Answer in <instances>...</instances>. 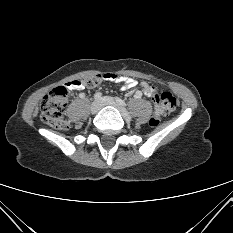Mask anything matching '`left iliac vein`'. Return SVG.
Returning a JSON list of instances; mask_svg holds the SVG:
<instances>
[{"mask_svg": "<svg viewBox=\"0 0 233 233\" xmlns=\"http://www.w3.org/2000/svg\"><path fill=\"white\" fill-rule=\"evenodd\" d=\"M101 103L103 105L113 106L117 108L126 121L131 120L128 111L125 108H123L120 104H118L112 97H108V96L103 97Z\"/></svg>", "mask_w": 233, "mask_h": 233, "instance_id": "4c4485c4", "label": "left iliac vein"}]
</instances>
